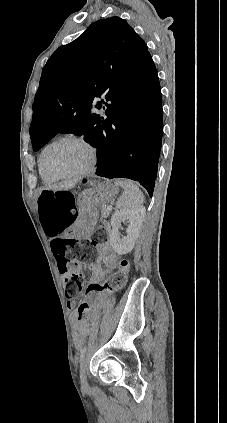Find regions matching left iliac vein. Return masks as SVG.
<instances>
[{"instance_id": "obj_1", "label": "left iliac vein", "mask_w": 227, "mask_h": 423, "mask_svg": "<svg viewBox=\"0 0 227 423\" xmlns=\"http://www.w3.org/2000/svg\"><path fill=\"white\" fill-rule=\"evenodd\" d=\"M85 363H86V357H83L82 361H81V365H80V383H81L82 388L84 390H87L88 389V382H87V377H86Z\"/></svg>"}]
</instances>
